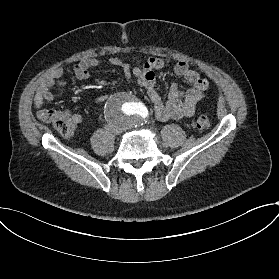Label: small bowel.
<instances>
[{
  "label": "small bowel",
  "mask_w": 279,
  "mask_h": 279,
  "mask_svg": "<svg viewBox=\"0 0 279 279\" xmlns=\"http://www.w3.org/2000/svg\"><path fill=\"white\" fill-rule=\"evenodd\" d=\"M111 66L120 68L124 78L127 81L135 79L147 92L152 104L155 117L160 121L185 118L193 115L196 104L206 97V90L209 87V81L202 78L199 72L185 61L178 62L173 71L176 75L183 77L192 86L186 90H179L175 85L169 89L168 99L163 100L155 89V72L164 67V60L160 57H151L147 59L142 67L132 68L117 56L108 59ZM101 65V62L93 57H86L80 60L74 67V76L78 81L86 80L89 76V69ZM63 68L58 67L52 70L38 85L34 97V107L41 109L45 103L52 102L54 95L51 88L67 86V82L61 79ZM105 101V96H99L95 99L97 106ZM71 120L74 124L82 123V116L78 113L71 114Z\"/></svg>",
  "instance_id": "1"
}]
</instances>
